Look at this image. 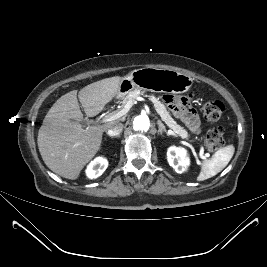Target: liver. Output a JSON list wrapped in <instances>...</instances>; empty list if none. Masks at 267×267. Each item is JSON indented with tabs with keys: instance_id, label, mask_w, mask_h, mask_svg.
I'll list each match as a JSON object with an SVG mask.
<instances>
[{
	"instance_id": "1",
	"label": "liver",
	"mask_w": 267,
	"mask_h": 267,
	"mask_svg": "<svg viewBox=\"0 0 267 267\" xmlns=\"http://www.w3.org/2000/svg\"><path fill=\"white\" fill-rule=\"evenodd\" d=\"M123 77L115 76L91 83L78 92L86 116L99 114L117 94ZM77 90L61 96L50 108L38 132V148L44 163L57 175L75 180L98 152L103 132L112 121L85 129Z\"/></svg>"
}]
</instances>
